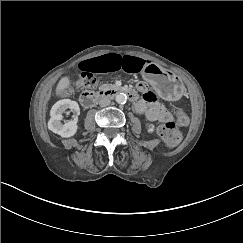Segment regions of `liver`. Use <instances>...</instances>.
I'll use <instances>...</instances> for the list:
<instances>
[{
  "instance_id": "obj_1",
  "label": "liver",
  "mask_w": 243,
  "mask_h": 243,
  "mask_svg": "<svg viewBox=\"0 0 243 243\" xmlns=\"http://www.w3.org/2000/svg\"><path fill=\"white\" fill-rule=\"evenodd\" d=\"M73 85V82L71 80V77L69 75L62 76L58 83L56 84L55 90H54V96L59 97L66 93L71 86Z\"/></svg>"
}]
</instances>
